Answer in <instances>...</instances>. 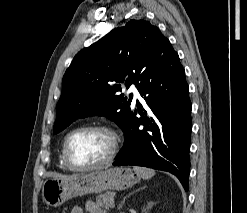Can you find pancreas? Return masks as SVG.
Segmentation results:
<instances>
[{
	"mask_svg": "<svg viewBox=\"0 0 247 213\" xmlns=\"http://www.w3.org/2000/svg\"><path fill=\"white\" fill-rule=\"evenodd\" d=\"M114 194L106 192L96 197L97 205L104 210V213L110 208V202L113 200Z\"/></svg>",
	"mask_w": 247,
	"mask_h": 213,
	"instance_id": "1",
	"label": "pancreas"
}]
</instances>
